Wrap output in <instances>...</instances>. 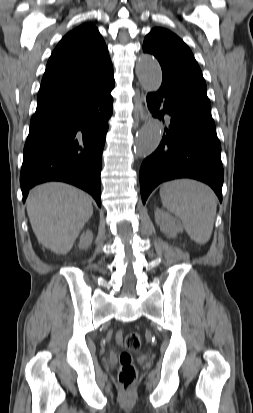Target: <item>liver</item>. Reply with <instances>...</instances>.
Listing matches in <instances>:
<instances>
[{
	"label": "liver",
	"mask_w": 253,
	"mask_h": 413,
	"mask_svg": "<svg viewBox=\"0 0 253 413\" xmlns=\"http://www.w3.org/2000/svg\"><path fill=\"white\" fill-rule=\"evenodd\" d=\"M27 214L39 243L58 255L67 254L93 214L92 201L83 191L51 182L32 189Z\"/></svg>",
	"instance_id": "6515ba94"
}]
</instances>
